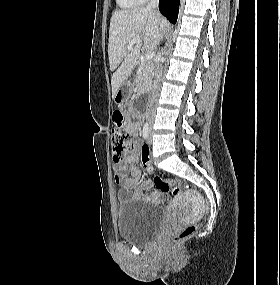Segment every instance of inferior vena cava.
I'll return each mask as SVG.
<instances>
[{"mask_svg": "<svg viewBox=\"0 0 280 285\" xmlns=\"http://www.w3.org/2000/svg\"><path fill=\"white\" fill-rule=\"evenodd\" d=\"M158 3H159V0H150V3L146 7L147 10L157 11ZM158 55L160 57L161 53H159ZM162 73H163V64L161 61H159L155 67V77H154L153 86H152L151 94H150V100H149L150 106H149V110L147 113V119L149 122H152L155 116L154 105L157 102V97L159 95Z\"/></svg>", "mask_w": 280, "mask_h": 285, "instance_id": "obj_1", "label": "inferior vena cava"}]
</instances>
